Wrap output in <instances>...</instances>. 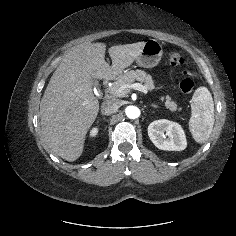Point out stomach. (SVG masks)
<instances>
[{
  "label": "stomach",
  "instance_id": "0dacf381",
  "mask_svg": "<svg viewBox=\"0 0 236 236\" xmlns=\"http://www.w3.org/2000/svg\"><path fill=\"white\" fill-rule=\"evenodd\" d=\"M163 49L160 42L155 39H150L145 42V45L136 58V63L140 67L153 68L158 65L162 58Z\"/></svg>",
  "mask_w": 236,
  "mask_h": 236
}]
</instances>
